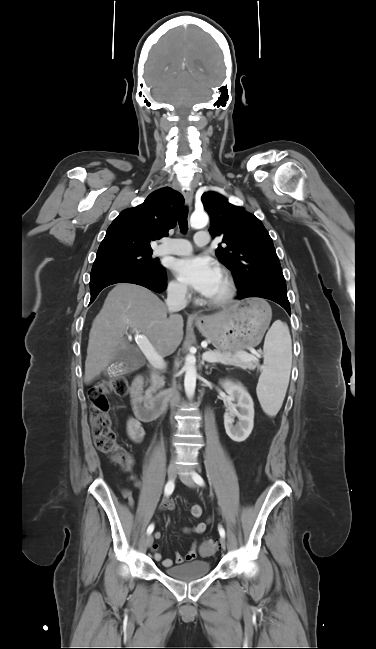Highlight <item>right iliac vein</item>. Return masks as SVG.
Listing matches in <instances>:
<instances>
[{"label":"right iliac vein","instance_id":"obj_1","mask_svg":"<svg viewBox=\"0 0 376 649\" xmlns=\"http://www.w3.org/2000/svg\"><path fill=\"white\" fill-rule=\"evenodd\" d=\"M176 465L174 463L170 464L168 467V477L169 479H174L176 475ZM153 536L149 534L146 538V546L150 547L153 544Z\"/></svg>","mask_w":376,"mask_h":649}]
</instances>
